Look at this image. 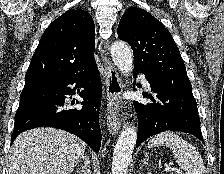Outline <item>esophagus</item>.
<instances>
[{
    "label": "esophagus",
    "mask_w": 224,
    "mask_h": 174,
    "mask_svg": "<svg viewBox=\"0 0 224 174\" xmlns=\"http://www.w3.org/2000/svg\"><path fill=\"white\" fill-rule=\"evenodd\" d=\"M99 49L102 54L105 63V69L107 72L106 88L108 99L110 101V109L107 116V126L111 134H116L120 129L121 119L119 117V114H116L115 111L116 107H113L114 104L113 101L116 100L117 104H123V101L121 99L123 86L116 68L106 57L105 51L103 50L102 47H100Z\"/></svg>",
    "instance_id": "1"
}]
</instances>
